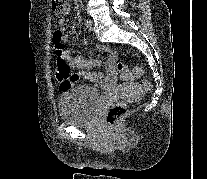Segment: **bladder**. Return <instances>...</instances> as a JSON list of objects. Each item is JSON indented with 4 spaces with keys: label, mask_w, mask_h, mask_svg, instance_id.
Listing matches in <instances>:
<instances>
[{
    "label": "bladder",
    "mask_w": 207,
    "mask_h": 179,
    "mask_svg": "<svg viewBox=\"0 0 207 179\" xmlns=\"http://www.w3.org/2000/svg\"><path fill=\"white\" fill-rule=\"evenodd\" d=\"M100 101V93L92 87L68 88L59 98L60 118L77 127L91 125L99 114Z\"/></svg>",
    "instance_id": "31cf9c89"
}]
</instances>
